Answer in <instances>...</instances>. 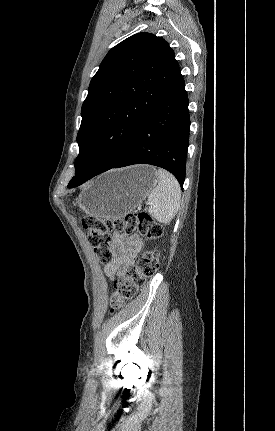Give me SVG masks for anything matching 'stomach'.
<instances>
[{
  "label": "stomach",
  "instance_id": "0dacf381",
  "mask_svg": "<svg viewBox=\"0 0 275 431\" xmlns=\"http://www.w3.org/2000/svg\"><path fill=\"white\" fill-rule=\"evenodd\" d=\"M157 183L156 169L150 165L110 170L73 203L89 216L118 219L138 207Z\"/></svg>",
  "mask_w": 275,
  "mask_h": 431
}]
</instances>
